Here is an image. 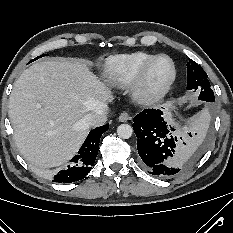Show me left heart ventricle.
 <instances>
[{
    "label": "left heart ventricle",
    "mask_w": 233,
    "mask_h": 233,
    "mask_svg": "<svg viewBox=\"0 0 233 233\" xmlns=\"http://www.w3.org/2000/svg\"><path fill=\"white\" fill-rule=\"evenodd\" d=\"M171 66L168 60L162 59L158 61L150 70L147 80L149 88H155L161 85L170 75Z\"/></svg>",
    "instance_id": "left-heart-ventricle-1"
}]
</instances>
